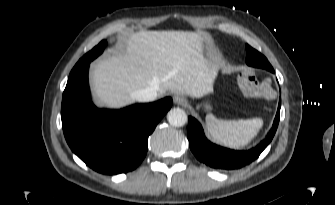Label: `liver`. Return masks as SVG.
Listing matches in <instances>:
<instances>
[{"instance_id":"liver-1","label":"liver","mask_w":335,"mask_h":205,"mask_svg":"<svg viewBox=\"0 0 335 205\" xmlns=\"http://www.w3.org/2000/svg\"><path fill=\"white\" fill-rule=\"evenodd\" d=\"M201 33L140 31L123 48L94 63L91 87L97 103L121 108L134 102L133 93L147 87L159 96L172 91L200 98L212 90L219 65L204 54Z\"/></svg>"}]
</instances>
